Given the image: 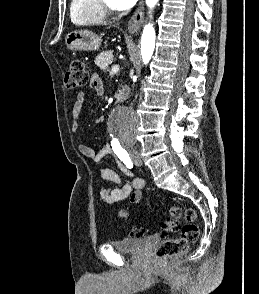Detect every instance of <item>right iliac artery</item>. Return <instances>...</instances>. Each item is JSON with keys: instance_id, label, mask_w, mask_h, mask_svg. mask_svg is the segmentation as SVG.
<instances>
[{"instance_id": "82829eb1", "label": "right iliac artery", "mask_w": 259, "mask_h": 294, "mask_svg": "<svg viewBox=\"0 0 259 294\" xmlns=\"http://www.w3.org/2000/svg\"><path fill=\"white\" fill-rule=\"evenodd\" d=\"M112 149L114 153L118 156V158L128 167H133V162L129 156V154L126 152L125 149H123L118 142H111Z\"/></svg>"}]
</instances>
